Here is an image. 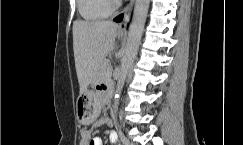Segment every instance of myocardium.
I'll return each mask as SVG.
<instances>
[{"mask_svg":"<svg viewBox=\"0 0 243 145\" xmlns=\"http://www.w3.org/2000/svg\"><path fill=\"white\" fill-rule=\"evenodd\" d=\"M107 2L112 10L116 9L119 6V0H107Z\"/></svg>","mask_w":243,"mask_h":145,"instance_id":"myocardium-1","label":"myocardium"}]
</instances>
